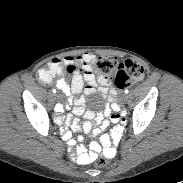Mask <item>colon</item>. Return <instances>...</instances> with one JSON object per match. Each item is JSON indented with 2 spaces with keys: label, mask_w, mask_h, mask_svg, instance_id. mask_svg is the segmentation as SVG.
<instances>
[{
  "label": "colon",
  "mask_w": 183,
  "mask_h": 183,
  "mask_svg": "<svg viewBox=\"0 0 183 183\" xmlns=\"http://www.w3.org/2000/svg\"><path fill=\"white\" fill-rule=\"evenodd\" d=\"M95 67L100 74L113 80L116 89L134 85L143 78L145 72L141 63L132 60L120 61L115 57H100L96 60ZM55 75L57 72L54 69L40 70L38 74L43 83H49ZM87 160L99 167L108 163L106 157L95 156Z\"/></svg>",
  "instance_id": "colon-1"
}]
</instances>
